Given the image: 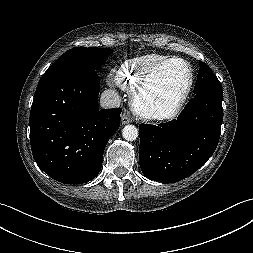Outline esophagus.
<instances>
[{
  "instance_id": "esophagus-1",
  "label": "esophagus",
  "mask_w": 253,
  "mask_h": 253,
  "mask_svg": "<svg viewBox=\"0 0 253 253\" xmlns=\"http://www.w3.org/2000/svg\"><path fill=\"white\" fill-rule=\"evenodd\" d=\"M131 121L132 120H131L130 116L126 112L122 113V115H121V123L123 125L129 124Z\"/></svg>"
}]
</instances>
